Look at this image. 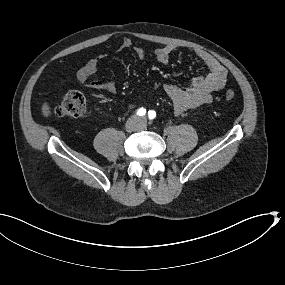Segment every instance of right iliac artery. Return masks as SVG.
I'll use <instances>...</instances> for the list:
<instances>
[{
  "instance_id": "1",
  "label": "right iliac artery",
  "mask_w": 285,
  "mask_h": 285,
  "mask_svg": "<svg viewBox=\"0 0 285 285\" xmlns=\"http://www.w3.org/2000/svg\"><path fill=\"white\" fill-rule=\"evenodd\" d=\"M145 113H146V109H144L143 107L138 109V111H137V115H139V116H143V115H145Z\"/></svg>"
}]
</instances>
